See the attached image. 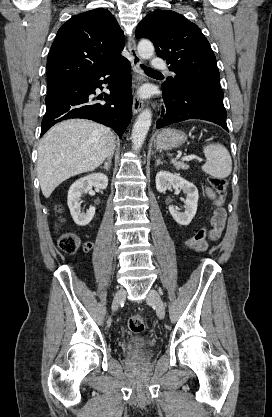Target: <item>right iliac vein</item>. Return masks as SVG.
Segmentation results:
<instances>
[{"label":"right iliac vein","instance_id":"63e3f726","mask_svg":"<svg viewBox=\"0 0 272 417\" xmlns=\"http://www.w3.org/2000/svg\"><path fill=\"white\" fill-rule=\"evenodd\" d=\"M126 296V291L124 289H120L116 292L113 302H112V311L115 312L117 311L119 305L121 304V302L124 300Z\"/></svg>","mask_w":272,"mask_h":417}]
</instances>
